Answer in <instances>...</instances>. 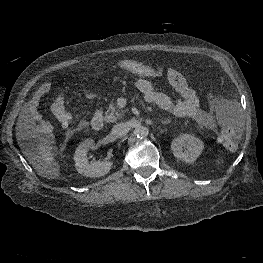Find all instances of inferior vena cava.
Returning <instances> with one entry per match:
<instances>
[{"label":"inferior vena cava","mask_w":263,"mask_h":263,"mask_svg":"<svg viewBox=\"0 0 263 263\" xmlns=\"http://www.w3.org/2000/svg\"><path fill=\"white\" fill-rule=\"evenodd\" d=\"M129 132V127L126 123H118L112 128V135L116 138H122Z\"/></svg>","instance_id":"obj_1"}]
</instances>
